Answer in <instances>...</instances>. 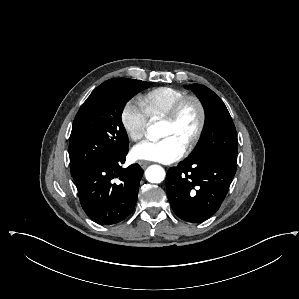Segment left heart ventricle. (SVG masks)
Returning <instances> with one entry per match:
<instances>
[{
	"label": "left heart ventricle",
	"mask_w": 299,
	"mask_h": 299,
	"mask_svg": "<svg viewBox=\"0 0 299 299\" xmlns=\"http://www.w3.org/2000/svg\"><path fill=\"white\" fill-rule=\"evenodd\" d=\"M199 122V110L194 103H188L176 123L163 122L161 137H171L184 148L194 136Z\"/></svg>",
	"instance_id": "b2bd125f"
}]
</instances>
